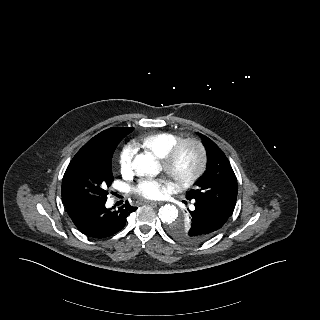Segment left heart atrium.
I'll use <instances>...</instances> for the list:
<instances>
[{
	"label": "left heart atrium",
	"mask_w": 320,
	"mask_h": 320,
	"mask_svg": "<svg viewBox=\"0 0 320 320\" xmlns=\"http://www.w3.org/2000/svg\"><path fill=\"white\" fill-rule=\"evenodd\" d=\"M170 185L162 179H142L134 188V192L142 197L158 199L168 189Z\"/></svg>",
	"instance_id": "left-heart-atrium-1"
}]
</instances>
